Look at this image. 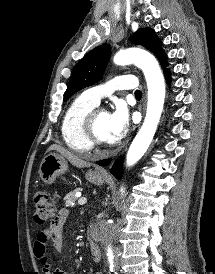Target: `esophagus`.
I'll return each instance as SVG.
<instances>
[{"label": "esophagus", "instance_id": "1", "mask_svg": "<svg viewBox=\"0 0 215 274\" xmlns=\"http://www.w3.org/2000/svg\"><path fill=\"white\" fill-rule=\"evenodd\" d=\"M145 105H146V99L144 97V101H143V111L145 110ZM101 173L104 175H107V171L106 170H101Z\"/></svg>", "mask_w": 215, "mask_h": 274}]
</instances>
